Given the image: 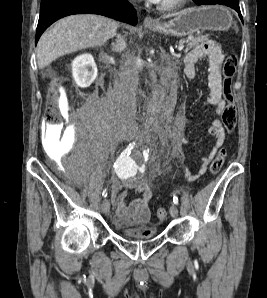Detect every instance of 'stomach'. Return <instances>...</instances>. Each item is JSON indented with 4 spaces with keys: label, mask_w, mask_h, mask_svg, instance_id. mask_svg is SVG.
Segmentation results:
<instances>
[{
    "label": "stomach",
    "mask_w": 267,
    "mask_h": 298,
    "mask_svg": "<svg viewBox=\"0 0 267 298\" xmlns=\"http://www.w3.org/2000/svg\"><path fill=\"white\" fill-rule=\"evenodd\" d=\"M232 15L226 7L209 5L179 12L174 19L149 29L165 35L182 37L199 31H226L232 25Z\"/></svg>",
    "instance_id": "stomach-1"
}]
</instances>
